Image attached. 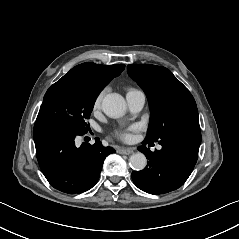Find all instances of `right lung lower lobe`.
<instances>
[{
  "label": "right lung lower lobe",
  "instance_id": "1",
  "mask_svg": "<svg viewBox=\"0 0 239 239\" xmlns=\"http://www.w3.org/2000/svg\"><path fill=\"white\" fill-rule=\"evenodd\" d=\"M78 133L70 126L58 121L35 123L33 136L39 166L55 189L78 194L92 188L100 177L104 159L115 150L95 144L83 143L75 146Z\"/></svg>",
  "mask_w": 239,
  "mask_h": 239
}]
</instances>
